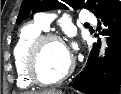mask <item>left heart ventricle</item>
<instances>
[{"instance_id":"obj_1","label":"left heart ventricle","mask_w":121,"mask_h":94,"mask_svg":"<svg viewBox=\"0 0 121 94\" xmlns=\"http://www.w3.org/2000/svg\"><path fill=\"white\" fill-rule=\"evenodd\" d=\"M71 55L62 43L48 41L40 49L37 70L42 79L50 81L59 77L70 63Z\"/></svg>"}]
</instances>
